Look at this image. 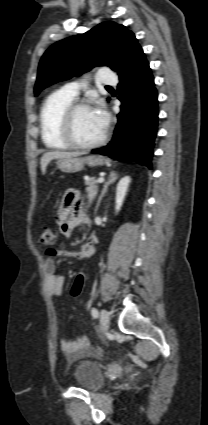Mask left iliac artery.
<instances>
[{"label": "left iliac artery", "instance_id": "44dca946", "mask_svg": "<svg viewBox=\"0 0 208 425\" xmlns=\"http://www.w3.org/2000/svg\"><path fill=\"white\" fill-rule=\"evenodd\" d=\"M91 314L94 318H97L99 315L98 310L96 308H92Z\"/></svg>", "mask_w": 208, "mask_h": 425}]
</instances>
